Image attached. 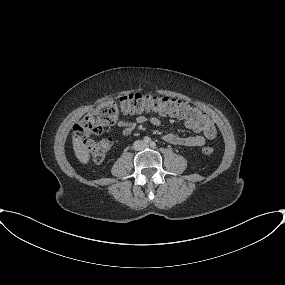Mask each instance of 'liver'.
Segmentation results:
<instances>
[{
    "mask_svg": "<svg viewBox=\"0 0 285 285\" xmlns=\"http://www.w3.org/2000/svg\"><path fill=\"white\" fill-rule=\"evenodd\" d=\"M72 142L74 153L78 160L83 164H87L90 160V154L86 146L82 143L81 139L77 137H73Z\"/></svg>",
    "mask_w": 285,
    "mask_h": 285,
    "instance_id": "liver-1",
    "label": "liver"
}]
</instances>
